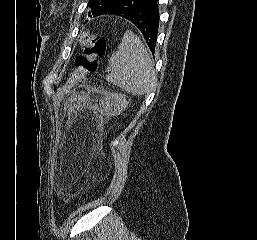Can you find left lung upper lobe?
I'll return each instance as SVG.
<instances>
[{"mask_svg": "<svg viewBox=\"0 0 257 240\" xmlns=\"http://www.w3.org/2000/svg\"><path fill=\"white\" fill-rule=\"evenodd\" d=\"M120 0H89L87 7L90 8L89 16L96 17L116 5Z\"/></svg>", "mask_w": 257, "mask_h": 240, "instance_id": "1", "label": "left lung upper lobe"}]
</instances>
